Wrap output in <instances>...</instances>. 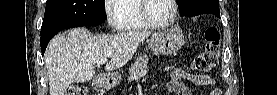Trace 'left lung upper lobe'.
<instances>
[{
  "instance_id": "5c2ea615",
  "label": "left lung upper lobe",
  "mask_w": 277,
  "mask_h": 95,
  "mask_svg": "<svg viewBox=\"0 0 277 95\" xmlns=\"http://www.w3.org/2000/svg\"><path fill=\"white\" fill-rule=\"evenodd\" d=\"M181 16H196L211 13L220 17L218 0H176Z\"/></svg>"
}]
</instances>
